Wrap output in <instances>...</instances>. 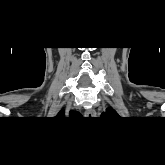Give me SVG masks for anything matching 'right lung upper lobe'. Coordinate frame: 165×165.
Returning <instances> with one entry per match:
<instances>
[{"label": "right lung upper lobe", "mask_w": 165, "mask_h": 165, "mask_svg": "<svg viewBox=\"0 0 165 165\" xmlns=\"http://www.w3.org/2000/svg\"><path fill=\"white\" fill-rule=\"evenodd\" d=\"M70 114H74V112H70ZM64 116V110H61L56 117Z\"/></svg>", "instance_id": "obj_1"}]
</instances>
